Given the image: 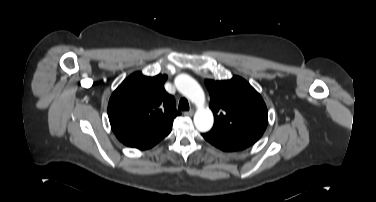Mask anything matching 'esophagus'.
Returning <instances> with one entry per match:
<instances>
[{
  "label": "esophagus",
  "mask_w": 376,
  "mask_h": 202,
  "mask_svg": "<svg viewBox=\"0 0 376 202\" xmlns=\"http://www.w3.org/2000/svg\"><path fill=\"white\" fill-rule=\"evenodd\" d=\"M194 114V111L193 110H189V111H185L184 112V115L185 116H192Z\"/></svg>",
  "instance_id": "obj_1"
}]
</instances>
